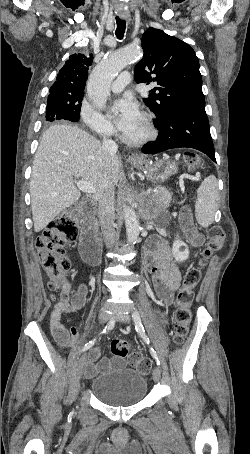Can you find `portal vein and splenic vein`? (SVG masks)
<instances>
[{
    "label": "portal vein and splenic vein",
    "mask_w": 250,
    "mask_h": 454,
    "mask_svg": "<svg viewBox=\"0 0 250 454\" xmlns=\"http://www.w3.org/2000/svg\"><path fill=\"white\" fill-rule=\"evenodd\" d=\"M76 185H77L78 189L82 192L90 193V194L95 192V188L86 181H82V180L77 181Z\"/></svg>",
    "instance_id": "1"
}]
</instances>
